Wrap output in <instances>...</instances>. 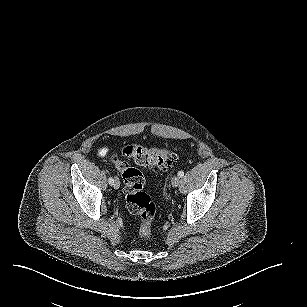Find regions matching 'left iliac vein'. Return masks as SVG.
<instances>
[{"mask_svg":"<svg viewBox=\"0 0 307 307\" xmlns=\"http://www.w3.org/2000/svg\"><path fill=\"white\" fill-rule=\"evenodd\" d=\"M180 182H181V179L179 176H174L171 181L173 187H178Z\"/></svg>","mask_w":307,"mask_h":307,"instance_id":"left-iliac-vein-1","label":"left iliac vein"}]
</instances>
